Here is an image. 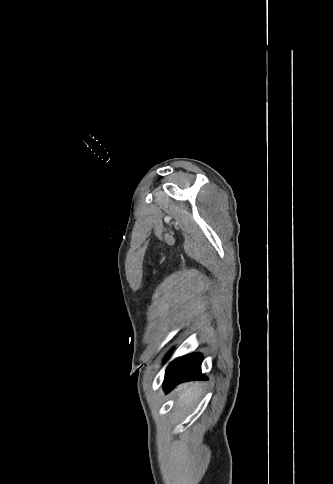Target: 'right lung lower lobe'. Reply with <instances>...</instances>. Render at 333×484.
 <instances>
[{
	"label": "right lung lower lobe",
	"mask_w": 333,
	"mask_h": 484,
	"mask_svg": "<svg viewBox=\"0 0 333 484\" xmlns=\"http://www.w3.org/2000/svg\"><path fill=\"white\" fill-rule=\"evenodd\" d=\"M201 362L202 355L198 353L175 359L166 370L163 383L165 391H170L181 382L204 378L201 375Z\"/></svg>",
	"instance_id": "1"
}]
</instances>
